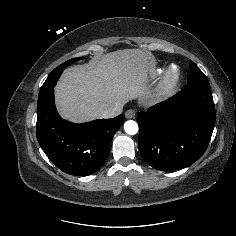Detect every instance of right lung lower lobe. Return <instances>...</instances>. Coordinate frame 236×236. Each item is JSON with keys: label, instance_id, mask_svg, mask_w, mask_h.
<instances>
[{"label": "right lung lower lobe", "instance_id": "right-lung-lower-lobe-1", "mask_svg": "<svg viewBox=\"0 0 236 236\" xmlns=\"http://www.w3.org/2000/svg\"><path fill=\"white\" fill-rule=\"evenodd\" d=\"M63 69L52 71L42 85L37 104L36 135L50 161L60 170L90 175L105 163L115 132L125 115L75 124L62 119L54 103V87Z\"/></svg>", "mask_w": 236, "mask_h": 236}]
</instances>
